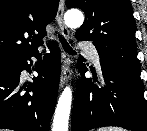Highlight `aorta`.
<instances>
[{
    "label": "aorta",
    "instance_id": "obj_1",
    "mask_svg": "<svg viewBox=\"0 0 147 131\" xmlns=\"http://www.w3.org/2000/svg\"><path fill=\"white\" fill-rule=\"evenodd\" d=\"M67 26L71 28L80 27L84 22V16L77 9L69 10L64 15ZM72 103V91L66 87L62 92L55 109L52 131H68L69 116Z\"/></svg>",
    "mask_w": 147,
    "mask_h": 131
}]
</instances>
